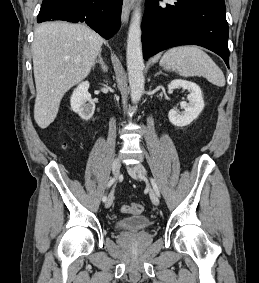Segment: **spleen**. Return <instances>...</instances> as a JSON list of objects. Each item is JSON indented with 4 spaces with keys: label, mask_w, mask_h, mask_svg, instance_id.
<instances>
[{
    "label": "spleen",
    "mask_w": 259,
    "mask_h": 283,
    "mask_svg": "<svg viewBox=\"0 0 259 283\" xmlns=\"http://www.w3.org/2000/svg\"><path fill=\"white\" fill-rule=\"evenodd\" d=\"M160 65L183 77L204 76L214 85H225L221 69L209 55L196 46H180L168 50L161 58Z\"/></svg>",
    "instance_id": "obj_1"
}]
</instances>
